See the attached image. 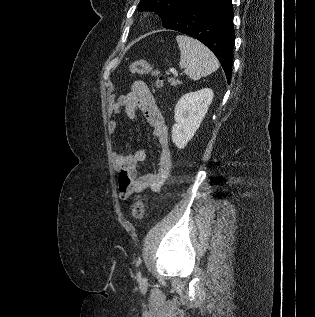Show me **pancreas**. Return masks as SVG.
<instances>
[{
    "mask_svg": "<svg viewBox=\"0 0 315 317\" xmlns=\"http://www.w3.org/2000/svg\"><path fill=\"white\" fill-rule=\"evenodd\" d=\"M168 81L171 82V83H172L173 85H175V86H176L177 84H179V81H178V80H175L174 78H169Z\"/></svg>",
    "mask_w": 315,
    "mask_h": 317,
    "instance_id": "obj_1",
    "label": "pancreas"
}]
</instances>
